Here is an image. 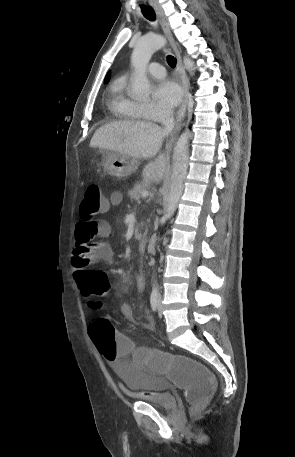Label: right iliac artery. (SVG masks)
<instances>
[{"label": "right iliac artery", "instance_id": "82829eb1", "mask_svg": "<svg viewBox=\"0 0 295 457\" xmlns=\"http://www.w3.org/2000/svg\"><path fill=\"white\" fill-rule=\"evenodd\" d=\"M150 303L153 311H156L159 303V297L157 294H152L150 297Z\"/></svg>", "mask_w": 295, "mask_h": 457}]
</instances>
